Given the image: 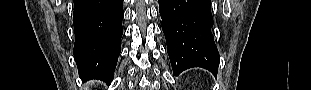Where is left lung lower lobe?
Instances as JSON below:
<instances>
[{"mask_svg":"<svg viewBox=\"0 0 311 90\" xmlns=\"http://www.w3.org/2000/svg\"><path fill=\"white\" fill-rule=\"evenodd\" d=\"M173 74L202 67L216 75L219 53L211 33L210 0H158Z\"/></svg>","mask_w":311,"mask_h":90,"instance_id":"0a47b994","label":"left lung lower lobe"}]
</instances>
